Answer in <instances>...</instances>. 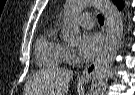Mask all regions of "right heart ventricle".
Wrapping results in <instances>:
<instances>
[{
  "mask_svg": "<svg viewBox=\"0 0 135 95\" xmlns=\"http://www.w3.org/2000/svg\"><path fill=\"white\" fill-rule=\"evenodd\" d=\"M66 46L59 39L57 26H48L35 46L36 61L42 67H58L64 60Z\"/></svg>",
  "mask_w": 135,
  "mask_h": 95,
  "instance_id": "e07e8e85",
  "label": "right heart ventricle"
}]
</instances>
